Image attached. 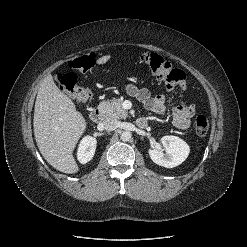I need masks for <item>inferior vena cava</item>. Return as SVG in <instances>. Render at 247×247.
Here are the masks:
<instances>
[{
  "label": "inferior vena cava",
  "mask_w": 247,
  "mask_h": 247,
  "mask_svg": "<svg viewBox=\"0 0 247 247\" xmlns=\"http://www.w3.org/2000/svg\"><path fill=\"white\" fill-rule=\"evenodd\" d=\"M102 125L106 131H113L117 128V121L112 117H108L103 121Z\"/></svg>",
  "instance_id": "obj_1"
}]
</instances>
